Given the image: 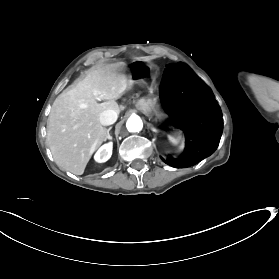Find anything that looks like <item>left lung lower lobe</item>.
<instances>
[{"label": "left lung lower lobe", "instance_id": "left-lung-lower-lobe-1", "mask_svg": "<svg viewBox=\"0 0 279 279\" xmlns=\"http://www.w3.org/2000/svg\"><path fill=\"white\" fill-rule=\"evenodd\" d=\"M164 109L184 130L185 152L179 158H162L175 168H186L210 156L222 135V115L211 90L184 63L170 64L160 87Z\"/></svg>", "mask_w": 279, "mask_h": 279}]
</instances>
